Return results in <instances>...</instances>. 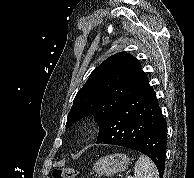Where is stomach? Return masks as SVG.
Instances as JSON below:
<instances>
[{
  "label": "stomach",
  "mask_w": 194,
  "mask_h": 178,
  "mask_svg": "<svg viewBox=\"0 0 194 178\" xmlns=\"http://www.w3.org/2000/svg\"><path fill=\"white\" fill-rule=\"evenodd\" d=\"M130 158L122 153L102 157L94 164V171L99 175L111 176L127 169Z\"/></svg>",
  "instance_id": "stomach-1"
}]
</instances>
